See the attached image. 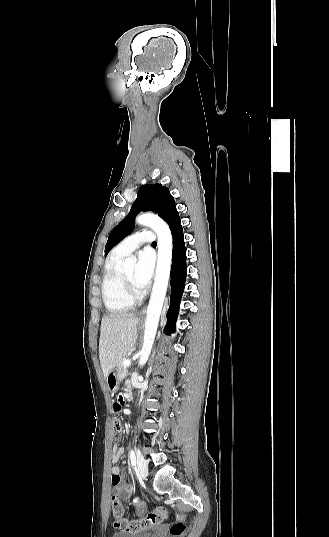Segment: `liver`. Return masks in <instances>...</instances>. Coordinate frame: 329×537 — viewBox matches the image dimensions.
Segmentation results:
<instances>
[{"label":"liver","instance_id":"liver-1","mask_svg":"<svg viewBox=\"0 0 329 537\" xmlns=\"http://www.w3.org/2000/svg\"><path fill=\"white\" fill-rule=\"evenodd\" d=\"M139 319L132 314H111L101 321L99 359L106 378L118 363L132 352Z\"/></svg>","mask_w":329,"mask_h":537}]
</instances>
